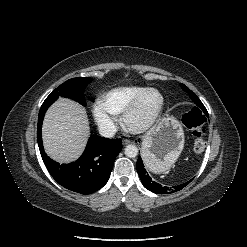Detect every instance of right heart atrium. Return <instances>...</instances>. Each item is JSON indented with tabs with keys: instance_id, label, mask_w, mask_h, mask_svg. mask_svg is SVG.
<instances>
[{
	"instance_id": "right-heart-atrium-1",
	"label": "right heart atrium",
	"mask_w": 247,
	"mask_h": 247,
	"mask_svg": "<svg viewBox=\"0 0 247 247\" xmlns=\"http://www.w3.org/2000/svg\"><path fill=\"white\" fill-rule=\"evenodd\" d=\"M92 113L97 125L104 134L111 135L114 133L117 120L100 101L93 104Z\"/></svg>"
}]
</instances>
